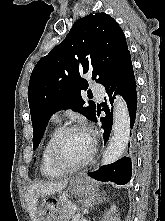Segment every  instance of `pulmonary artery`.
Segmentation results:
<instances>
[{"mask_svg": "<svg viewBox=\"0 0 165 221\" xmlns=\"http://www.w3.org/2000/svg\"><path fill=\"white\" fill-rule=\"evenodd\" d=\"M96 96L98 99H102L103 98V95H104V91H103V88L102 87H94L93 88ZM52 119L56 122H58L60 120V112H56L55 114H53L52 116Z\"/></svg>", "mask_w": 165, "mask_h": 221, "instance_id": "1", "label": "pulmonary artery"}]
</instances>
